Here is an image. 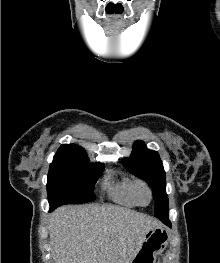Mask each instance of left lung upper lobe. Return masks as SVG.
Instances as JSON below:
<instances>
[{"label":"left lung upper lobe","instance_id":"left-lung-upper-lobe-1","mask_svg":"<svg viewBox=\"0 0 220 263\" xmlns=\"http://www.w3.org/2000/svg\"><path fill=\"white\" fill-rule=\"evenodd\" d=\"M122 163L129 172L152 186L156 216L168 214L165 172L159 154L145 148L144 143L138 141L135 143L131 156L123 159Z\"/></svg>","mask_w":220,"mask_h":263}]
</instances>
